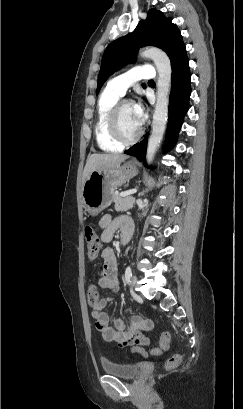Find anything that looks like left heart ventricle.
Here are the masks:
<instances>
[{
  "mask_svg": "<svg viewBox=\"0 0 243 409\" xmlns=\"http://www.w3.org/2000/svg\"><path fill=\"white\" fill-rule=\"evenodd\" d=\"M119 124L125 137H132L140 128L133 112V105H125L119 116Z\"/></svg>",
  "mask_w": 243,
  "mask_h": 409,
  "instance_id": "b2bd125f",
  "label": "left heart ventricle"
}]
</instances>
